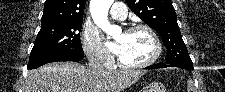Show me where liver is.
I'll list each match as a JSON object with an SVG mask.
<instances>
[{
    "label": "liver",
    "instance_id": "liver-1",
    "mask_svg": "<svg viewBox=\"0 0 225 92\" xmlns=\"http://www.w3.org/2000/svg\"><path fill=\"white\" fill-rule=\"evenodd\" d=\"M145 71H92L76 62L49 63L28 72L24 92H122Z\"/></svg>",
    "mask_w": 225,
    "mask_h": 92
}]
</instances>
